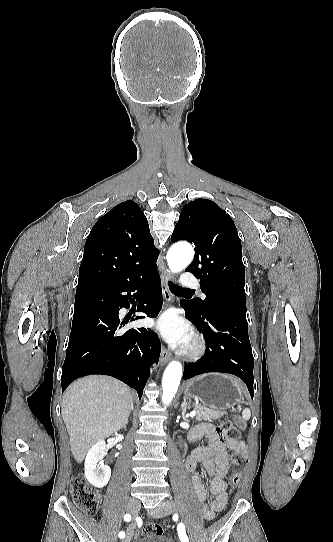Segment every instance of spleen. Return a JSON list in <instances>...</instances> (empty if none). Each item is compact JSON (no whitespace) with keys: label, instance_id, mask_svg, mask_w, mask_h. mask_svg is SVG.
Instances as JSON below:
<instances>
[{"label":"spleen","instance_id":"1","mask_svg":"<svg viewBox=\"0 0 333 542\" xmlns=\"http://www.w3.org/2000/svg\"><path fill=\"white\" fill-rule=\"evenodd\" d=\"M242 418H243V420H250L251 412H250L249 408H245V410H243Z\"/></svg>","mask_w":333,"mask_h":542}]
</instances>
